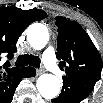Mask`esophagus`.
Masks as SVG:
<instances>
[{"mask_svg": "<svg viewBox=\"0 0 103 103\" xmlns=\"http://www.w3.org/2000/svg\"><path fill=\"white\" fill-rule=\"evenodd\" d=\"M44 72H45V71H44L43 68L37 69V71H36L37 75H41V74H43Z\"/></svg>", "mask_w": 103, "mask_h": 103, "instance_id": "obj_1", "label": "esophagus"}]
</instances>
